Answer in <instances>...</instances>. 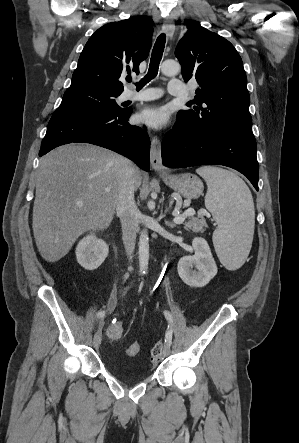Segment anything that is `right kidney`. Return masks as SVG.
<instances>
[{
  "mask_svg": "<svg viewBox=\"0 0 299 443\" xmlns=\"http://www.w3.org/2000/svg\"><path fill=\"white\" fill-rule=\"evenodd\" d=\"M75 253L78 263L84 269L92 271L104 262L109 247L104 240L91 233L79 241Z\"/></svg>",
  "mask_w": 299,
  "mask_h": 443,
  "instance_id": "right-kidney-1",
  "label": "right kidney"
}]
</instances>
